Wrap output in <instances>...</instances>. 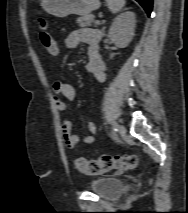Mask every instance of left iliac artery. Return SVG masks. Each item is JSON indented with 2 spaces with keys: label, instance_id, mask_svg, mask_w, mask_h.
Wrapping results in <instances>:
<instances>
[{
  "label": "left iliac artery",
  "instance_id": "left-iliac-artery-1",
  "mask_svg": "<svg viewBox=\"0 0 188 213\" xmlns=\"http://www.w3.org/2000/svg\"><path fill=\"white\" fill-rule=\"evenodd\" d=\"M112 130H113V133H116L118 131L116 123L113 124Z\"/></svg>",
  "mask_w": 188,
  "mask_h": 213
}]
</instances>
